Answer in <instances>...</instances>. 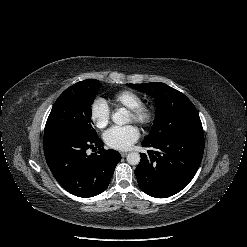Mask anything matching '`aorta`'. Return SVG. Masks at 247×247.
I'll return each mask as SVG.
<instances>
[{
  "label": "aorta",
  "mask_w": 247,
  "mask_h": 247,
  "mask_svg": "<svg viewBox=\"0 0 247 247\" xmlns=\"http://www.w3.org/2000/svg\"><path fill=\"white\" fill-rule=\"evenodd\" d=\"M129 120H130L129 113L125 108L118 109L112 115V121L117 125L127 124ZM126 160L130 165H137L140 162V154L137 152H131L127 155Z\"/></svg>",
  "instance_id": "762f6f07"
}]
</instances>
